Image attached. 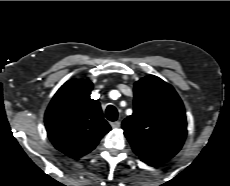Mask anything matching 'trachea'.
I'll use <instances>...</instances> for the list:
<instances>
[{
  "label": "trachea",
  "instance_id": "3493384b",
  "mask_svg": "<svg viewBox=\"0 0 230 186\" xmlns=\"http://www.w3.org/2000/svg\"><path fill=\"white\" fill-rule=\"evenodd\" d=\"M106 118L110 121H116L118 118L117 109L113 105H108L105 112Z\"/></svg>",
  "mask_w": 230,
  "mask_h": 186
}]
</instances>
